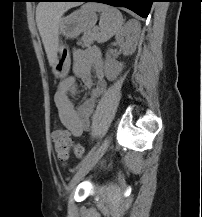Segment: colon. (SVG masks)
<instances>
[{
  "mask_svg": "<svg viewBox=\"0 0 202 217\" xmlns=\"http://www.w3.org/2000/svg\"><path fill=\"white\" fill-rule=\"evenodd\" d=\"M51 136L54 152L60 161L64 162L68 160L70 150H73L76 157H83V147L79 143H74L71 140L69 133L65 128L55 127Z\"/></svg>",
  "mask_w": 202,
  "mask_h": 217,
  "instance_id": "5ec220e1",
  "label": "colon"
}]
</instances>
